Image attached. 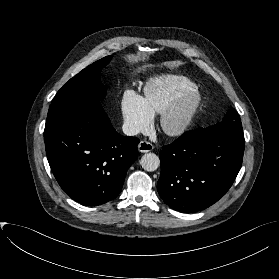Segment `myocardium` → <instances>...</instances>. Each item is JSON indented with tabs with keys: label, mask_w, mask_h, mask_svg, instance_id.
I'll return each instance as SVG.
<instances>
[{
	"label": "myocardium",
	"mask_w": 279,
	"mask_h": 279,
	"mask_svg": "<svg viewBox=\"0 0 279 279\" xmlns=\"http://www.w3.org/2000/svg\"><path fill=\"white\" fill-rule=\"evenodd\" d=\"M201 104L202 94L198 89L181 96L161 113V131L169 137L184 135L193 124Z\"/></svg>",
	"instance_id": "myocardium-1"
}]
</instances>
